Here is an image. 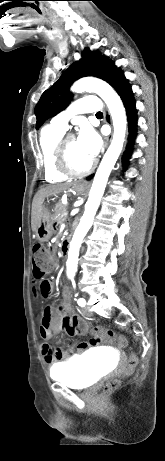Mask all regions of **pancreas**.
<instances>
[{
	"instance_id": "obj_1",
	"label": "pancreas",
	"mask_w": 165,
	"mask_h": 461,
	"mask_svg": "<svg viewBox=\"0 0 165 461\" xmlns=\"http://www.w3.org/2000/svg\"><path fill=\"white\" fill-rule=\"evenodd\" d=\"M66 210V206H64L62 203H58L54 209V221L57 222V224H60L62 221H64V216L63 213Z\"/></svg>"
}]
</instances>
